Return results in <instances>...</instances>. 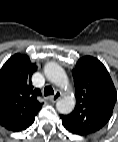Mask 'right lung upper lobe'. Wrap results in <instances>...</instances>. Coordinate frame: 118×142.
I'll use <instances>...</instances> for the list:
<instances>
[{"instance_id":"obj_1","label":"right lung upper lobe","mask_w":118,"mask_h":142,"mask_svg":"<svg viewBox=\"0 0 118 142\" xmlns=\"http://www.w3.org/2000/svg\"><path fill=\"white\" fill-rule=\"evenodd\" d=\"M36 64L27 55L15 54L0 70V125L18 132L27 129L34 122L42 104L37 97L39 89L34 88L31 76Z\"/></svg>"}]
</instances>
